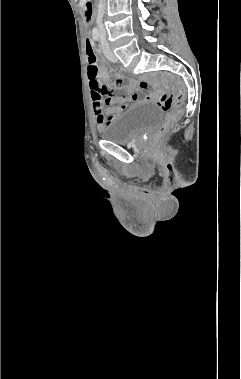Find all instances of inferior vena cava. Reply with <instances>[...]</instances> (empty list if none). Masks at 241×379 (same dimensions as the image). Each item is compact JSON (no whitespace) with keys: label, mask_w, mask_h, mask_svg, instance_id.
Wrapping results in <instances>:
<instances>
[{"label":"inferior vena cava","mask_w":241,"mask_h":379,"mask_svg":"<svg viewBox=\"0 0 241 379\" xmlns=\"http://www.w3.org/2000/svg\"><path fill=\"white\" fill-rule=\"evenodd\" d=\"M104 10H105L104 0H99L98 15H97L96 22H97V25H98V28H99L100 38L103 39V40L106 39V31H105L104 25L102 23Z\"/></svg>","instance_id":"1"}]
</instances>
